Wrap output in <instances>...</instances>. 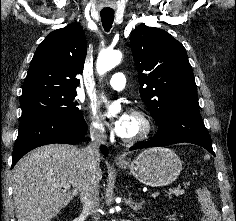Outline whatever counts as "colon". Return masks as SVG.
Returning <instances> with one entry per match:
<instances>
[{
    "instance_id": "obj_1",
    "label": "colon",
    "mask_w": 236,
    "mask_h": 221,
    "mask_svg": "<svg viewBox=\"0 0 236 221\" xmlns=\"http://www.w3.org/2000/svg\"><path fill=\"white\" fill-rule=\"evenodd\" d=\"M196 196L202 211L201 221H219V212L209 189L206 187H199L196 190Z\"/></svg>"
}]
</instances>
